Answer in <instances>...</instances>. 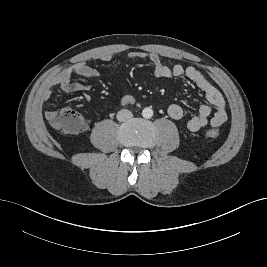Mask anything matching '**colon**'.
<instances>
[{
    "label": "colon",
    "mask_w": 267,
    "mask_h": 267,
    "mask_svg": "<svg viewBox=\"0 0 267 267\" xmlns=\"http://www.w3.org/2000/svg\"><path fill=\"white\" fill-rule=\"evenodd\" d=\"M51 125L64 133H76L80 131L84 125L81 115L71 108H62L56 110L50 118ZM219 133L215 129H210L206 132L209 139H216Z\"/></svg>",
    "instance_id": "obj_1"
}]
</instances>
